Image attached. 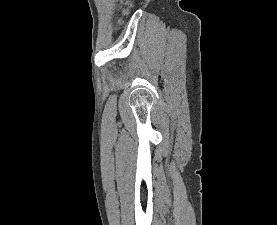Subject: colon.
<instances>
[{
    "mask_svg": "<svg viewBox=\"0 0 277 225\" xmlns=\"http://www.w3.org/2000/svg\"><path fill=\"white\" fill-rule=\"evenodd\" d=\"M123 4H124V6H125V8H124V13H127V11H128V6L130 5V0H124L123 1Z\"/></svg>",
    "mask_w": 277,
    "mask_h": 225,
    "instance_id": "1",
    "label": "colon"
}]
</instances>
